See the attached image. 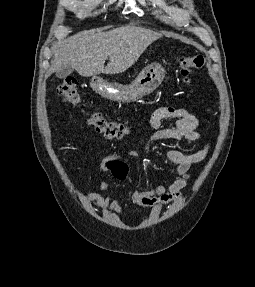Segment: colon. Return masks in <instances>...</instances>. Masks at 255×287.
I'll return each instance as SVG.
<instances>
[{
    "mask_svg": "<svg viewBox=\"0 0 255 287\" xmlns=\"http://www.w3.org/2000/svg\"><path fill=\"white\" fill-rule=\"evenodd\" d=\"M180 73L184 82L191 85V75L195 70L204 66L205 60L200 55L179 57ZM57 93L62 97L64 102L71 105H78L81 102L80 93L77 88V82L74 78H66L57 88ZM89 124L93 126L97 132L102 133L108 138H121L129 133V129L124 124L111 121L103 117L100 113H94L89 118Z\"/></svg>",
    "mask_w": 255,
    "mask_h": 287,
    "instance_id": "colon-1",
    "label": "colon"
}]
</instances>
